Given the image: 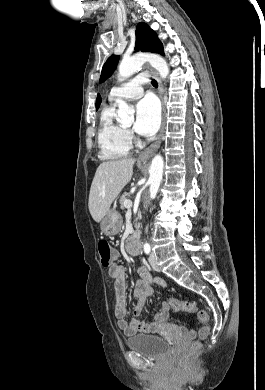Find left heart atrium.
<instances>
[{
	"instance_id": "obj_1",
	"label": "left heart atrium",
	"mask_w": 265,
	"mask_h": 390,
	"mask_svg": "<svg viewBox=\"0 0 265 390\" xmlns=\"http://www.w3.org/2000/svg\"><path fill=\"white\" fill-rule=\"evenodd\" d=\"M160 108L157 102L146 97L138 102L136 106L135 131L143 136L155 134L160 125Z\"/></svg>"
}]
</instances>
